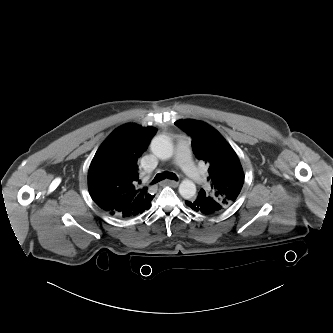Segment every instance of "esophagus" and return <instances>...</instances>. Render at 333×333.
<instances>
[{"mask_svg": "<svg viewBox=\"0 0 333 333\" xmlns=\"http://www.w3.org/2000/svg\"><path fill=\"white\" fill-rule=\"evenodd\" d=\"M162 185L165 184V185H169V186H172V187H177L179 182L177 181H174V180H164L162 183Z\"/></svg>", "mask_w": 333, "mask_h": 333, "instance_id": "34e87169", "label": "esophagus"}]
</instances>
